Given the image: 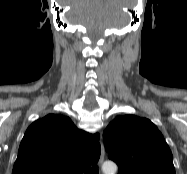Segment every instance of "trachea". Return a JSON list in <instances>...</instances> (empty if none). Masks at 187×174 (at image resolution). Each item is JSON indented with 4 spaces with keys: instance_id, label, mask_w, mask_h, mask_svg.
Segmentation results:
<instances>
[{
    "instance_id": "3493384b",
    "label": "trachea",
    "mask_w": 187,
    "mask_h": 174,
    "mask_svg": "<svg viewBox=\"0 0 187 174\" xmlns=\"http://www.w3.org/2000/svg\"><path fill=\"white\" fill-rule=\"evenodd\" d=\"M85 174H99L98 167L94 166V167L86 170Z\"/></svg>"
}]
</instances>
